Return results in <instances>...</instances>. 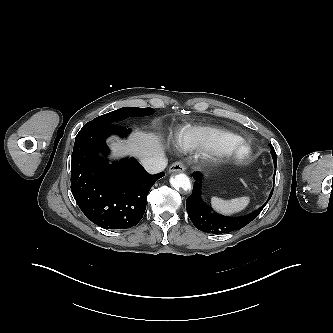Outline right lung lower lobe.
<instances>
[{"label": "right lung lower lobe", "mask_w": 333, "mask_h": 333, "mask_svg": "<svg viewBox=\"0 0 333 333\" xmlns=\"http://www.w3.org/2000/svg\"><path fill=\"white\" fill-rule=\"evenodd\" d=\"M131 129L115 123L85 124L76 136L71 162V191L79 208L93 223L106 229L136 226L146 209V197L164 173L149 174L134 158L110 165L105 139L125 136Z\"/></svg>", "instance_id": "1"}]
</instances>
